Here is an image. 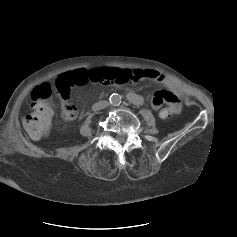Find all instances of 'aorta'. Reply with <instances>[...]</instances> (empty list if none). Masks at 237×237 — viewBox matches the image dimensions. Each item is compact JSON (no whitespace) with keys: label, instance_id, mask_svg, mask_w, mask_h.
Here are the masks:
<instances>
[{"label":"aorta","instance_id":"1","mask_svg":"<svg viewBox=\"0 0 237 237\" xmlns=\"http://www.w3.org/2000/svg\"><path fill=\"white\" fill-rule=\"evenodd\" d=\"M109 101L112 105L117 106L121 103V96L117 93L111 94Z\"/></svg>","mask_w":237,"mask_h":237}]
</instances>
